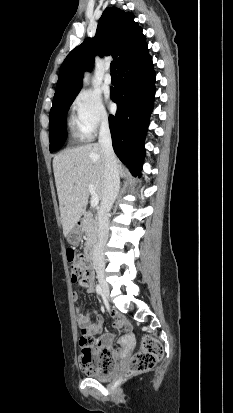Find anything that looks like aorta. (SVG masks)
I'll use <instances>...</instances> for the list:
<instances>
[{
	"label": "aorta",
	"mask_w": 233,
	"mask_h": 413,
	"mask_svg": "<svg viewBox=\"0 0 233 413\" xmlns=\"http://www.w3.org/2000/svg\"><path fill=\"white\" fill-rule=\"evenodd\" d=\"M83 82L85 85H87L89 83V75L86 73L83 79Z\"/></svg>",
	"instance_id": "obj_1"
}]
</instances>
